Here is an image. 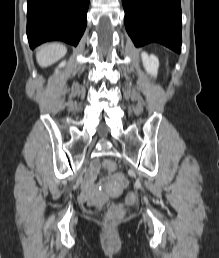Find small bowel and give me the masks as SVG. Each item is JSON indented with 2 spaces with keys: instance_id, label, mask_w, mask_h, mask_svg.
I'll return each instance as SVG.
<instances>
[{
  "instance_id": "obj_1",
  "label": "small bowel",
  "mask_w": 219,
  "mask_h": 258,
  "mask_svg": "<svg viewBox=\"0 0 219 258\" xmlns=\"http://www.w3.org/2000/svg\"><path fill=\"white\" fill-rule=\"evenodd\" d=\"M98 172L99 166L98 163L95 162L90 169L87 179L83 183V192L86 196L90 195L94 191V180L97 177ZM112 179H114L112 180L114 187H119L120 184H131V179H124L123 172L121 174H112Z\"/></svg>"
}]
</instances>
